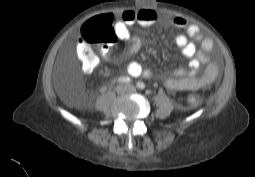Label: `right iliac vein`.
Wrapping results in <instances>:
<instances>
[{
    "instance_id": "obj_1",
    "label": "right iliac vein",
    "mask_w": 255,
    "mask_h": 177,
    "mask_svg": "<svg viewBox=\"0 0 255 177\" xmlns=\"http://www.w3.org/2000/svg\"><path fill=\"white\" fill-rule=\"evenodd\" d=\"M127 91V87L125 85H119L116 88V92L120 95L124 94Z\"/></svg>"
}]
</instances>
